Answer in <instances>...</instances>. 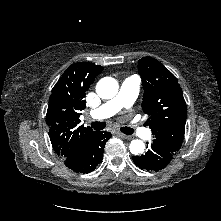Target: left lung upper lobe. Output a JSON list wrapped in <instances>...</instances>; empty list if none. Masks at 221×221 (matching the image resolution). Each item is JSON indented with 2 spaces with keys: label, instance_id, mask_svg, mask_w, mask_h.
<instances>
[{
  "label": "left lung upper lobe",
  "instance_id": "obj_1",
  "mask_svg": "<svg viewBox=\"0 0 221 221\" xmlns=\"http://www.w3.org/2000/svg\"><path fill=\"white\" fill-rule=\"evenodd\" d=\"M143 88L142 109L155 135L153 144L176 152L180 149L187 118L183 92L177 78L158 60L143 57L138 64Z\"/></svg>",
  "mask_w": 221,
  "mask_h": 221
}]
</instances>
